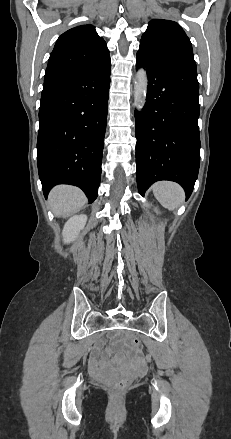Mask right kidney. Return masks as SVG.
<instances>
[{
  "label": "right kidney",
  "mask_w": 231,
  "mask_h": 439,
  "mask_svg": "<svg viewBox=\"0 0 231 439\" xmlns=\"http://www.w3.org/2000/svg\"><path fill=\"white\" fill-rule=\"evenodd\" d=\"M87 221V216L84 214L72 216L64 225L63 239L64 242L69 243L73 241L84 228Z\"/></svg>",
  "instance_id": "1"
}]
</instances>
